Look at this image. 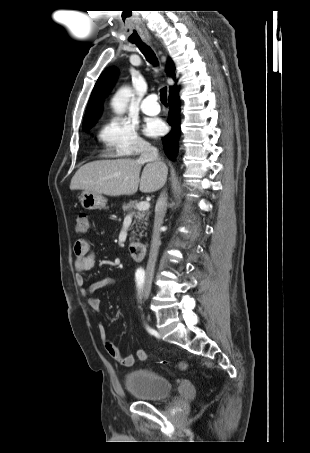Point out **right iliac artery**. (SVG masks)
Instances as JSON below:
<instances>
[{
    "label": "right iliac artery",
    "mask_w": 310,
    "mask_h": 453,
    "mask_svg": "<svg viewBox=\"0 0 310 453\" xmlns=\"http://www.w3.org/2000/svg\"><path fill=\"white\" fill-rule=\"evenodd\" d=\"M135 277H136V283H137L138 291L140 293L141 289L143 288V285H144L145 273L144 272H136Z\"/></svg>",
    "instance_id": "right-iliac-artery-1"
}]
</instances>
